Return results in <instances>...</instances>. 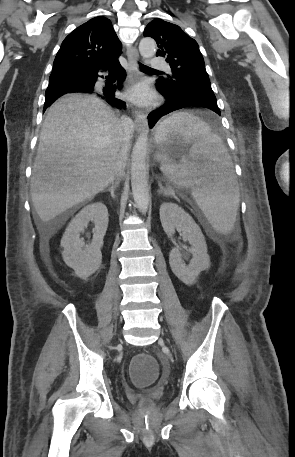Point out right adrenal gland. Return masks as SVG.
<instances>
[{
    "label": "right adrenal gland",
    "instance_id": "1",
    "mask_svg": "<svg viewBox=\"0 0 295 457\" xmlns=\"http://www.w3.org/2000/svg\"><path fill=\"white\" fill-rule=\"evenodd\" d=\"M119 183H120V182H119V179H117L116 181H113V182L111 183V187H109L108 189L105 190V191H109V192H110L111 197H112L113 199L116 198V196H115V190L118 188Z\"/></svg>",
    "mask_w": 295,
    "mask_h": 457
}]
</instances>
